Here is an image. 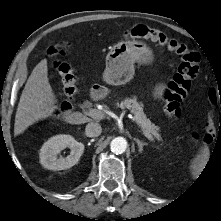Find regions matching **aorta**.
<instances>
[{"label":"aorta","instance_id":"762f6f07","mask_svg":"<svg viewBox=\"0 0 221 221\" xmlns=\"http://www.w3.org/2000/svg\"><path fill=\"white\" fill-rule=\"evenodd\" d=\"M111 151L115 154H122L127 148V141L123 137H116L110 143Z\"/></svg>","mask_w":221,"mask_h":221}]
</instances>
